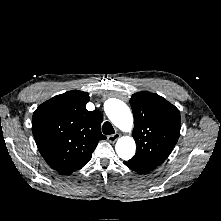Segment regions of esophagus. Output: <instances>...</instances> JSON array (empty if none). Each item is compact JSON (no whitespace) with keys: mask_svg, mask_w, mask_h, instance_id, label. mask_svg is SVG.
I'll return each instance as SVG.
<instances>
[{"mask_svg":"<svg viewBox=\"0 0 221 221\" xmlns=\"http://www.w3.org/2000/svg\"><path fill=\"white\" fill-rule=\"evenodd\" d=\"M120 137V134L119 133H115L113 135H109L107 137V140L110 142V143H115Z\"/></svg>","mask_w":221,"mask_h":221,"instance_id":"34e87169","label":"esophagus"}]
</instances>
